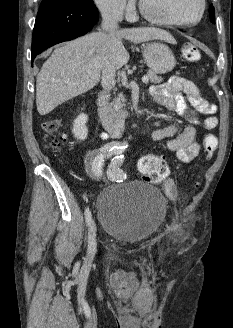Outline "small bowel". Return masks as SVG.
Segmentation results:
<instances>
[{
	"label": "small bowel",
	"mask_w": 233,
	"mask_h": 328,
	"mask_svg": "<svg viewBox=\"0 0 233 328\" xmlns=\"http://www.w3.org/2000/svg\"><path fill=\"white\" fill-rule=\"evenodd\" d=\"M150 94L159 105L187 118L192 124L179 130L177 125H169L152 132V139L165 141L167 148L174 152L179 161L188 163L194 160L199 152L200 145L196 141V128L193 124H200L207 130L218 125L215 116L217 107L207 101L198 86L191 80L172 76L167 82L151 87ZM187 101L193 110L188 107ZM198 114L207 117L200 120ZM107 137V134H103ZM164 192L169 199H176L177 188L173 179L164 182ZM110 285L115 295L121 299H128L139 289V282L134 274L117 269L110 275Z\"/></svg>",
	"instance_id": "1"
}]
</instances>
